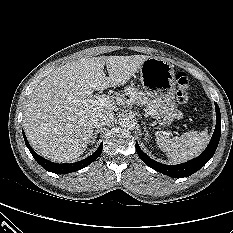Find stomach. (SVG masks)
Wrapping results in <instances>:
<instances>
[{
    "instance_id": "0dacf381",
    "label": "stomach",
    "mask_w": 233,
    "mask_h": 233,
    "mask_svg": "<svg viewBox=\"0 0 233 233\" xmlns=\"http://www.w3.org/2000/svg\"><path fill=\"white\" fill-rule=\"evenodd\" d=\"M146 96L153 105V117L160 126L169 125L181 116L175 103L176 81L173 65L159 57L146 59L140 69Z\"/></svg>"
}]
</instances>
